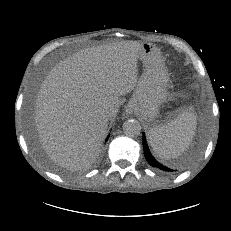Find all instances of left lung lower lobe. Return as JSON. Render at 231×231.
<instances>
[{
	"instance_id": "0a47b994",
	"label": "left lung lower lobe",
	"mask_w": 231,
	"mask_h": 231,
	"mask_svg": "<svg viewBox=\"0 0 231 231\" xmlns=\"http://www.w3.org/2000/svg\"><path fill=\"white\" fill-rule=\"evenodd\" d=\"M143 147H144V156L147 160V162L152 166V167H155L161 171H164V172H174L175 170L169 168V167H166L164 166L163 164L157 162L154 157L151 155L149 149H148V146H147V142H146V138H145V135H143Z\"/></svg>"
}]
</instances>
